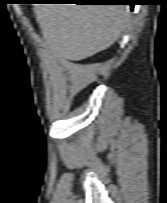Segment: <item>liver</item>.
<instances>
[{"instance_id":"obj_1","label":"liver","mask_w":167,"mask_h":203,"mask_svg":"<svg viewBox=\"0 0 167 203\" xmlns=\"http://www.w3.org/2000/svg\"><path fill=\"white\" fill-rule=\"evenodd\" d=\"M34 11L49 49L73 61L109 48L129 21L122 5L38 4Z\"/></svg>"}]
</instances>
